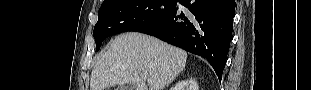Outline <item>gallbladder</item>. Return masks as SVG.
Instances as JSON below:
<instances>
[{"label": "gallbladder", "mask_w": 311, "mask_h": 90, "mask_svg": "<svg viewBox=\"0 0 311 90\" xmlns=\"http://www.w3.org/2000/svg\"><path fill=\"white\" fill-rule=\"evenodd\" d=\"M134 86L131 84H123V85H118L116 90H133Z\"/></svg>", "instance_id": "1"}]
</instances>
